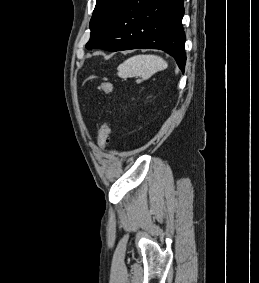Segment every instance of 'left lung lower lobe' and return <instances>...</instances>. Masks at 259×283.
Masks as SVG:
<instances>
[{
  "instance_id": "obj_1",
  "label": "left lung lower lobe",
  "mask_w": 259,
  "mask_h": 283,
  "mask_svg": "<svg viewBox=\"0 0 259 283\" xmlns=\"http://www.w3.org/2000/svg\"><path fill=\"white\" fill-rule=\"evenodd\" d=\"M183 0H126L104 36L89 49H160L184 71Z\"/></svg>"
}]
</instances>
